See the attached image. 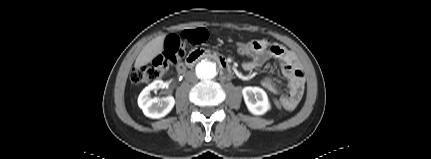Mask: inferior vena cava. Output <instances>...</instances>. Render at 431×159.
<instances>
[{
	"instance_id": "1",
	"label": "inferior vena cava",
	"mask_w": 431,
	"mask_h": 159,
	"mask_svg": "<svg viewBox=\"0 0 431 159\" xmlns=\"http://www.w3.org/2000/svg\"><path fill=\"white\" fill-rule=\"evenodd\" d=\"M186 79L188 81L195 82L197 80V77L195 76V74L193 72H188L186 74Z\"/></svg>"
}]
</instances>
